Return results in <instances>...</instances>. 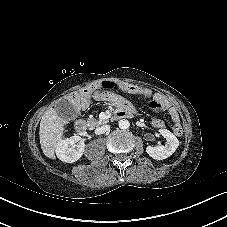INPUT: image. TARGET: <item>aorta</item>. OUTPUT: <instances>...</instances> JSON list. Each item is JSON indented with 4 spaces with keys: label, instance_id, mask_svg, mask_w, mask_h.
<instances>
[{
    "label": "aorta",
    "instance_id": "1",
    "mask_svg": "<svg viewBox=\"0 0 227 227\" xmlns=\"http://www.w3.org/2000/svg\"><path fill=\"white\" fill-rule=\"evenodd\" d=\"M129 126H130V123H129L128 120L122 119V120L119 121V128L120 129H124L125 130V129H128Z\"/></svg>",
    "mask_w": 227,
    "mask_h": 227
}]
</instances>
